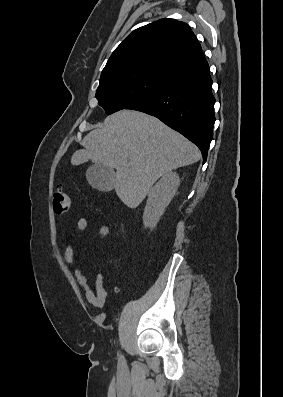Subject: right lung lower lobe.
I'll list each match as a JSON object with an SVG mask.
<instances>
[{
  "mask_svg": "<svg viewBox=\"0 0 283 397\" xmlns=\"http://www.w3.org/2000/svg\"><path fill=\"white\" fill-rule=\"evenodd\" d=\"M209 66L183 73L125 109L157 117L188 138L202 152L203 163L215 122Z\"/></svg>",
  "mask_w": 283,
  "mask_h": 397,
  "instance_id": "right-lung-lower-lobe-1",
  "label": "right lung lower lobe"
}]
</instances>
